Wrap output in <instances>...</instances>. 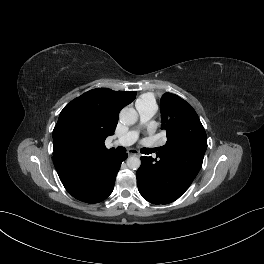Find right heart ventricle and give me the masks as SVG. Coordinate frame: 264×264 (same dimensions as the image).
<instances>
[{"label": "right heart ventricle", "instance_id": "e07e8e85", "mask_svg": "<svg viewBox=\"0 0 264 264\" xmlns=\"http://www.w3.org/2000/svg\"><path fill=\"white\" fill-rule=\"evenodd\" d=\"M144 104H149V105H153L156 107V100L154 95L150 94V93H146L141 95L137 101H136V106L137 105H144Z\"/></svg>", "mask_w": 264, "mask_h": 264}]
</instances>
